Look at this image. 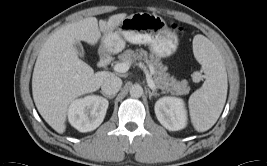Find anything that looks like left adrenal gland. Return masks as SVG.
<instances>
[{
  "label": "left adrenal gland",
  "instance_id": "1",
  "mask_svg": "<svg viewBox=\"0 0 267 166\" xmlns=\"http://www.w3.org/2000/svg\"><path fill=\"white\" fill-rule=\"evenodd\" d=\"M147 93L149 95V99L151 100L152 96L157 97L159 94L154 92V91H150V89H147Z\"/></svg>",
  "mask_w": 267,
  "mask_h": 166
}]
</instances>
